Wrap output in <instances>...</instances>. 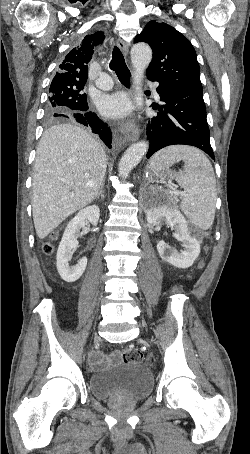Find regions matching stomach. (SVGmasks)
I'll return each instance as SVG.
<instances>
[{"instance_id":"0dacf381","label":"stomach","mask_w":250,"mask_h":454,"mask_svg":"<svg viewBox=\"0 0 250 454\" xmlns=\"http://www.w3.org/2000/svg\"><path fill=\"white\" fill-rule=\"evenodd\" d=\"M153 177H159L161 179H171L173 174L171 172H160L157 174H152Z\"/></svg>"}]
</instances>
